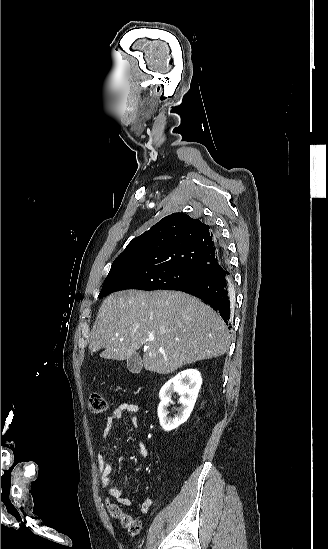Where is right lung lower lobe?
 Wrapping results in <instances>:
<instances>
[{
	"mask_svg": "<svg viewBox=\"0 0 328 549\" xmlns=\"http://www.w3.org/2000/svg\"><path fill=\"white\" fill-rule=\"evenodd\" d=\"M217 242L219 243V251L224 254L225 258L223 271H220L213 276L205 277L197 282L179 287L176 290L184 291L201 298L206 304L219 313L226 324H228L231 311V297L229 293L231 277L226 264L225 249L221 245L218 237Z\"/></svg>",
	"mask_w": 328,
	"mask_h": 549,
	"instance_id": "right-lung-lower-lobe-1",
	"label": "right lung lower lobe"
}]
</instances>
